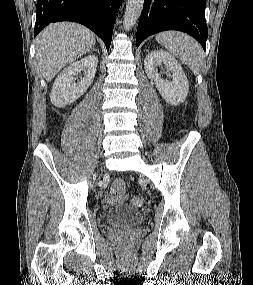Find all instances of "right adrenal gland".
Wrapping results in <instances>:
<instances>
[{"instance_id": "1", "label": "right adrenal gland", "mask_w": 253, "mask_h": 285, "mask_svg": "<svg viewBox=\"0 0 253 285\" xmlns=\"http://www.w3.org/2000/svg\"><path fill=\"white\" fill-rule=\"evenodd\" d=\"M91 51H96L97 53H99V51L95 49L94 47L91 48Z\"/></svg>"}]
</instances>
